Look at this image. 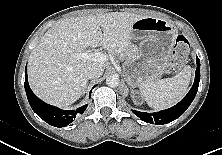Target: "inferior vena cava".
<instances>
[{"label": "inferior vena cava", "mask_w": 222, "mask_h": 155, "mask_svg": "<svg viewBox=\"0 0 222 155\" xmlns=\"http://www.w3.org/2000/svg\"><path fill=\"white\" fill-rule=\"evenodd\" d=\"M102 74H103L102 66L96 63L91 64L85 70V75L88 79L100 77Z\"/></svg>", "instance_id": "1"}]
</instances>
